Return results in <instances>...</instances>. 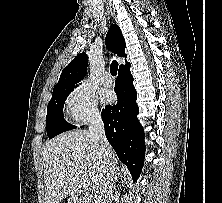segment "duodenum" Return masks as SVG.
<instances>
[{"label":"duodenum","mask_w":222,"mask_h":203,"mask_svg":"<svg viewBox=\"0 0 222 203\" xmlns=\"http://www.w3.org/2000/svg\"><path fill=\"white\" fill-rule=\"evenodd\" d=\"M74 198L78 203H93L91 197L83 191H77Z\"/></svg>","instance_id":"duodenum-1"}]
</instances>
